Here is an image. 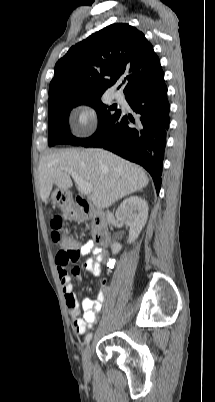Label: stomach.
Listing matches in <instances>:
<instances>
[{
    "label": "stomach",
    "mask_w": 215,
    "mask_h": 402,
    "mask_svg": "<svg viewBox=\"0 0 215 402\" xmlns=\"http://www.w3.org/2000/svg\"><path fill=\"white\" fill-rule=\"evenodd\" d=\"M51 198L65 213L68 214L71 211L72 204L68 191L56 189L52 193Z\"/></svg>",
    "instance_id": "0dacf381"
}]
</instances>
